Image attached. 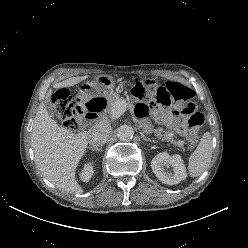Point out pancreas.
<instances>
[{
  "label": "pancreas",
  "instance_id": "pancreas-1",
  "mask_svg": "<svg viewBox=\"0 0 248 248\" xmlns=\"http://www.w3.org/2000/svg\"><path fill=\"white\" fill-rule=\"evenodd\" d=\"M126 101L122 97H120L117 93H114L112 97L109 99V104L106 109V112L110 113L111 109L118 101ZM127 103V102H126ZM139 127L147 134L155 133V136L163 141H168L173 143L175 146L180 147L184 150V141H177L174 139V133L172 131H163L162 128L154 129L151 122L148 119H143L139 121ZM164 132V134H162Z\"/></svg>",
  "mask_w": 248,
  "mask_h": 248
}]
</instances>
